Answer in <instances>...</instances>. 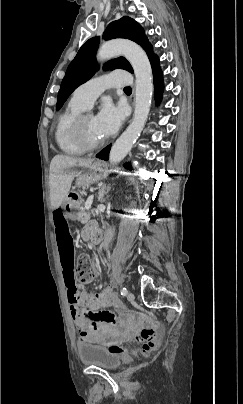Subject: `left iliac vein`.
<instances>
[{
  "instance_id": "left-iliac-vein-1",
  "label": "left iliac vein",
  "mask_w": 243,
  "mask_h": 404,
  "mask_svg": "<svg viewBox=\"0 0 243 404\" xmlns=\"http://www.w3.org/2000/svg\"><path fill=\"white\" fill-rule=\"evenodd\" d=\"M127 299H128L129 301H133V300L135 299L134 294H133L132 292H129V293L127 294Z\"/></svg>"
}]
</instances>
